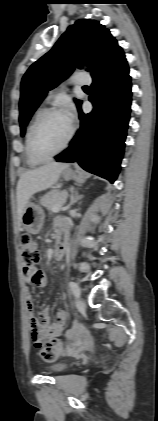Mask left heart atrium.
<instances>
[{
	"mask_svg": "<svg viewBox=\"0 0 158 421\" xmlns=\"http://www.w3.org/2000/svg\"><path fill=\"white\" fill-rule=\"evenodd\" d=\"M64 115L71 124L74 118L73 107L69 105L66 110L64 111Z\"/></svg>",
	"mask_w": 158,
	"mask_h": 421,
	"instance_id": "39dd6f15",
	"label": "left heart atrium"
}]
</instances>
